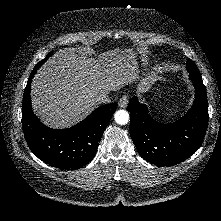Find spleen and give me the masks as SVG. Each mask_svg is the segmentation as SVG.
<instances>
[{
  "label": "spleen",
  "instance_id": "1",
  "mask_svg": "<svg viewBox=\"0 0 221 221\" xmlns=\"http://www.w3.org/2000/svg\"><path fill=\"white\" fill-rule=\"evenodd\" d=\"M174 113H175V112L173 111V112H171L170 114H168V118L172 119V118H173L172 115H173Z\"/></svg>",
  "mask_w": 221,
  "mask_h": 221
}]
</instances>
